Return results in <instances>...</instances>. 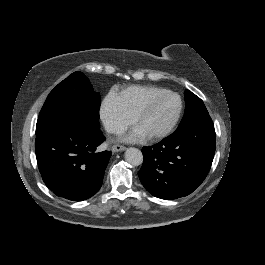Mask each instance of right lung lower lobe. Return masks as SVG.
Wrapping results in <instances>:
<instances>
[{"instance_id": "right-lung-lower-lobe-1", "label": "right lung lower lobe", "mask_w": 265, "mask_h": 265, "mask_svg": "<svg viewBox=\"0 0 265 265\" xmlns=\"http://www.w3.org/2000/svg\"><path fill=\"white\" fill-rule=\"evenodd\" d=\"M105 140L99 127L57 118L36 131L35 152L44 183L57 196L81 201L101 187L110 151L97 152Z\"/></svg>"}]
</instances>
